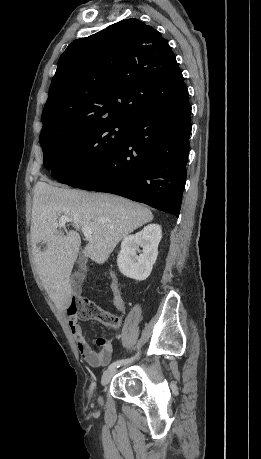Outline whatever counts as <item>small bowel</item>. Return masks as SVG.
<instances>
[{
	"label": "small bowel",
	"mask_w": 261,
	"mask_h": 459,
	"mask_svg": "<svg viewBox=\"0 0 261 459\" xmlns=\"http://www.w3.org/2000/svg\"><path fill=\"white\" fill-rule=\"evenodd\" d=\"M111 277V292L113 295V302L115 307L122 313H125L126 306L124 299L121 295L120 289L117 285V282L114 276L110 273ZM70 331L74 336L77 344V348L82 358L93 367H100L107 365L113 354V347L111 342L104 337L98 338L96 343L99 347V350H94L89 345L86 340V337L82 331L81 325L78 320L74 317H71L68 322Z\"/></svg>",
	"instance_id": "1"
}]
</instances>
